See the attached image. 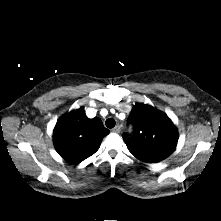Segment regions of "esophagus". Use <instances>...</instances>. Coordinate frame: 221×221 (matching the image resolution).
Masks as SVG:
<instances>
[{
  "label": "esophagus",
  "mask_w": 221,
  "mask_h": 221,
  "mask_svg": "<svg viewBox=\"0 0 221 221\" xmlns=\"http://www.w3.org/2000/svg\"><path fill=\"white\" fill-rule=\"evenodd\" d=\"M114 132L119 133L121 131V126L120 125H116L113 129Z\"/></svg>",
  "instance_id": "1"
}]
</instances>
